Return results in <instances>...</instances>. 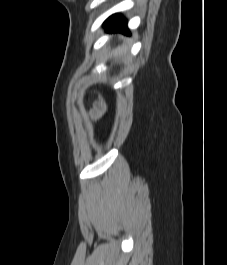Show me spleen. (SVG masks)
<instances>
[{
	"label": "spleen",
	"instance_id": "1",
	"mask_svg": "<svg viewBox=\"0 0 227 265\" xmlns=\"http://www.w3.org/2000/svg\"><path fill=\"white\" fill-rule=\"evenodd\" d=\"M126 53V48H118L116 51H115V55L118 56V55H125Z\"/></svg>",
	"mask_w": 227,
	"mask_h": 265
}]
</instances>
